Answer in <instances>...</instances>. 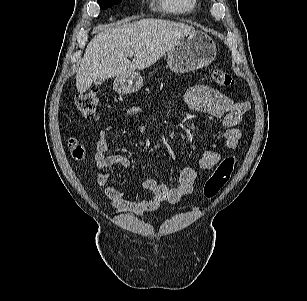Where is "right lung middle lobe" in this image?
Wrapping results in <instances>:
<instances>
[{
    "mask_svg": "<svg viewBox=\"0 0 307 301\" xmlns=\"http://www.w3.org/2000/svg\"><path fill=\"white\" fill-rule=\"evenodd\" d=\"M98 4L100 5L101 9H107L112 7L113 5L121 2V0H97Z\"/></svg>",
    "mask_w": 307,
    "mask_h": 301,
    "instance_id": "1",
    "label": "right lung middle lobe"
}]
</instances>
